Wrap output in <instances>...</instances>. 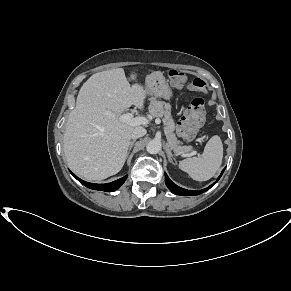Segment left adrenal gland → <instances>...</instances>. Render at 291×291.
I'll return each mask as SVG.
<instances>
[{
	"mask_svg": "<svg viewBox=\"0 0 291 291\" xmlns=\"http://www.w3.org/2000/svg\"><path fill=\"white\" fill-rule=\"evenodd\" d=\"M165 150H166V153H167V156H168V160L172 163V164H175L172 160V157H173V154H172V151H171V148L169 146V144L167 143L166 146H165ZM177 155V154H176Z\"/></svg>",
	"mask_w": 291,
	"mask_h": 291,
	"instance_id": "1",
	"label": "left adrenal gland"
}]
</instances>
